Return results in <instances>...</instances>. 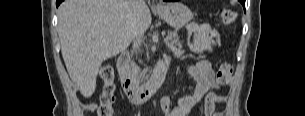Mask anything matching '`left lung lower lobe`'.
I'll list each match as a JSON object with an SVG mask.
<instances>
[{
  "instance_id": "1",
  "label": "left lung lower lobe",
  "mask_w": 305,
  "mask_h": 116,
  "mask_svg": "<svg viewBox=\"0 0 305 116\" xmlns=\"http://www.w3.org/2000/svg\"><path fill=\"white\" fill-rule=\"evenodd\" d=\"M240 2L242 3L243 7H245V0H240Z\"/></svg>"
}]
</instances>
